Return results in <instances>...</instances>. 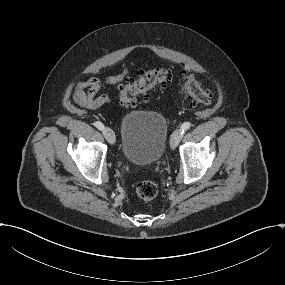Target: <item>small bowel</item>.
Segmentation results:
<instances>
[{
    "instance_id": "1",
    "label": "small bowel",
    "mask_w": 285,
    "mask_h": 285,
    "mask_svg": "<svg viewBox=\"0 0 285 285\" xmlns=\"http://www.w3.org/2000/svg\"><path fill=\"white\" fill-rule=\"evenodd\" d=\"M127 75L128 67L126 65H123L118 74L103 79L89 74L87 79L79 81L73 86L72 99L75 104L82 108L98 109L110 102L108 88L126 79ZM100 90H103V93L97 95Z\"/></svg>"
}]
</instances>
